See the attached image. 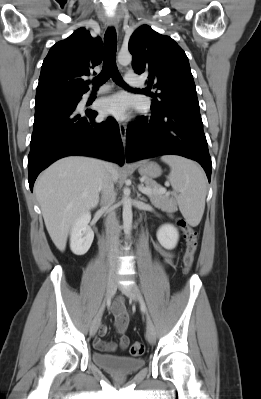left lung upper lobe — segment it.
Listing matches in <instances>:
<instances>
[{
	"label": "left lung upper lobe",
	"instance_id": "5c2ea615",
	"mask_svg": "<svg viewBox=\"0 0 261 399\" xmlns=\"http://www.w3.org/2000/svg\"><path fill=\"white\" fill-rule=\"evenodd\" d=\"M129 51L134 71L149 74L147 89L159 91L152 96V112L165 113L180 106L199 107L188 58L172 38L143 25L132 34Z\"/></svg>",
	"mask_w": 261,
	"mask_h": 399
}]
</instances>
